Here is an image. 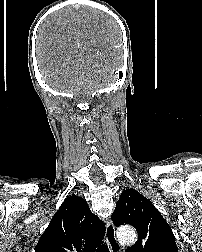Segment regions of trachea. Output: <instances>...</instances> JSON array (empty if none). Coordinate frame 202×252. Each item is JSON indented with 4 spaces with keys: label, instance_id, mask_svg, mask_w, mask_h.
Returning a JSON list of instances; mask_svg holds the SVG:
<instances>
[{
    "label": "trachea",
    "instance_id": "obj_1",
    "mask_svg": "<svg viewBox=\"0 0 202 252\" xmlns=\"http://www.w3.org/2000/svg\"><path fill=\"white\" fill-rule=\"evenodd\" d=\"M97 252H109L108 246L106 244H103L97 249Z\"/></svg>",
    "mask_w": 202,
    "mask_h": 252
}]
</instances>
